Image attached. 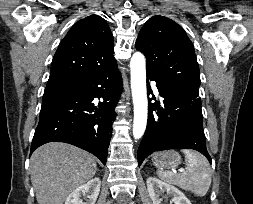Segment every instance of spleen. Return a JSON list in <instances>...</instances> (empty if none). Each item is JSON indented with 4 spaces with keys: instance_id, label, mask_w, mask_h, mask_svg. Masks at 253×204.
<instances>
[{
    "instance_id": "spleen-1",
    "label": "spleen",
    "mask_w": 253,
    "mask_h": 204,
    "mask_svg": "<svg viewBox=\"0 0 253 204\" xmlns=\"http://www.w3.org/2000/svg\"><path fill=\"white\" fill-rule=\"evenodd\" d=\"M182 153L185 155L186 170L176 173L158 168V177L169 184L192 191L197 196H204L212 181V170L207 159L202 154L189 149H183Z\"/></svg>"
}]
</instances>
